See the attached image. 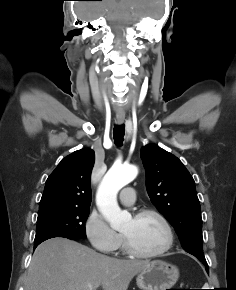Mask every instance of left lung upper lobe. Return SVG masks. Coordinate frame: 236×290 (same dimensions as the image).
<instances>
[{
  "mask_svg": "<svg viewBox=\"0 0 236 290\" xmlns=\"http://www.w3.org/2000/svg\"><path fill=\"white\" fill-rule=\"evenodd\" d=\"M140 155L151 202L174 227L185 251L208 266L203 253L201 209L193 177L177 157L157 145L142 147Z\"/></svg>",
  "mask_w": 236,
  "mask_h": 290,
  "instance_id": "obj_1",
  "label": "left lung upper lobe"
}]
</instances>
